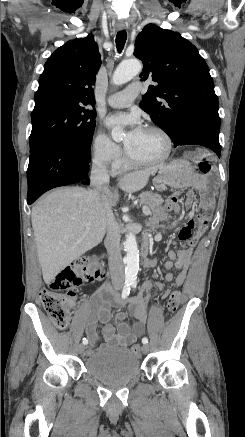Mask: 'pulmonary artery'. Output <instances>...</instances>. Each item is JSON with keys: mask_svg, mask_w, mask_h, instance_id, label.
Instances as JSON below:
<instances>
[{"mask_svg": "<svg viewBox=\"0 0 245 437\" xmlns=\"http://www.w3.org/2000/svg\"><path fill=\"white\" fill-rule=\"evenodd\" d=\"M141 86L135 82L130 84L123 91L117 92L107 99L108 105L114 108H124L132 104L136 96L139 94Z\"/></svg>", "mask_w": 245, "mask_h": 437, "instance_id": "e3ab8cb5", "label": "pulmonary artery"}]
</instances>
